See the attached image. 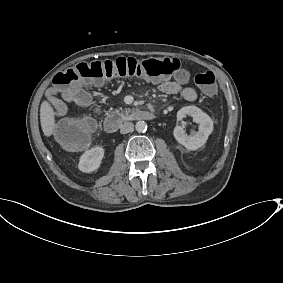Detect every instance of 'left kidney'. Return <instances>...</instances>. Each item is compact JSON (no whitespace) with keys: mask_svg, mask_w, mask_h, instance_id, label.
<instances>
[{"mask_svg":"<svg viewBox=\"0 0 283 283\" xmlns=\"http://www.w3.org/2000/svg\"><path fill=\"white\" fill-rule=\"evenodd\" d=\"M186 116L191 117L192 121L198 124V132L195 136H187L181 127H176L174 137L186 150L196 151L205 145L213 132V121L206 113L195 106L183 107L177 113L178 120H182Z\"/></svg>","mask_w":283,"mask_h":283,"instance_id":"1","label":"left kidney"}]
</instances>
